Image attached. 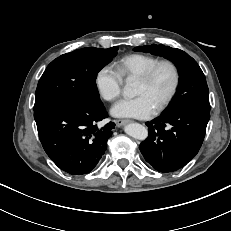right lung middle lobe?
I'll use <instances>...</instances> for the list:
<instances>
[{"instance_id":"right-lung-middle-lobe-1","label":"right lung middle lobe","mask_w":231,"mask_h":231,"mask_svg":"<svg viewBox=\"0 0 231 231\" xmlns=\"http://www.w3.org/2000/svg\"><path fill=\"white\" fill-rule=\"evenodd\" d=\"M117 50L116 46L88 47L53 60L39 80L34 111L61 103H102L96 86L97 73L112 60Z\"/></svg>"}]
</instances>
